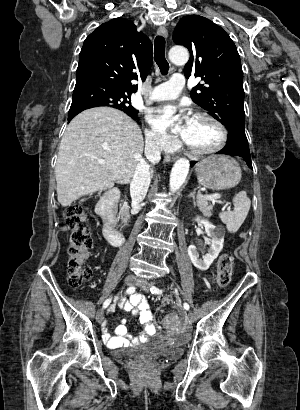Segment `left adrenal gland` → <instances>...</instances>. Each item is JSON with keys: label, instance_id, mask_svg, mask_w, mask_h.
Segmentation results:
<instances>
[{"label": "left adrenal gland", "instance_id": "1", "mask_svg": "<svg viewBox=\"0 0 300 410\" xmlns=\"http://www.w3.org/2000/svg\"><path fill=\"white\" fill-rule=\"evenodd\" d=\"M195 194H196V189H194L193 190V192H191L190 194H189V198H192V200H193V206H196L197 204H196V197H195Z\"/></svg>", "mask_w": 300, "mask_h": 410}]
</instances>
